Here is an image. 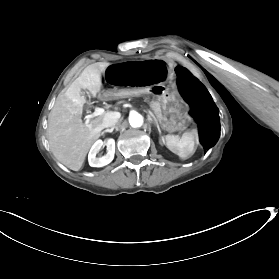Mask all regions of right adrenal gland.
Returning a JSON list of instances; mask_svg holds the SVG:
<instances>
[{
  "label": "right adrenal gland",
  "mask_w": 279,
  "mask_h": 279,
  "mask_svg": "<svg viewBox=\"0 0 279 279\" xmlns=\"http://www.w3.org/2000/svg\"><path fill=\"white\" fill-rule=\"evenodd\" d=\"M114 130V127H112L111 129H106V130H104L103 132H102V135L104 134V133H106V132H112Z\"/></svg>",
  "instance_id": "obj_1"
}]
</instances>
